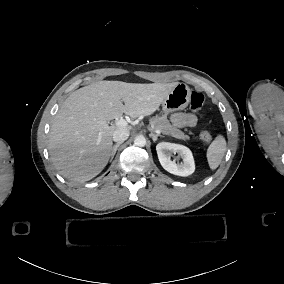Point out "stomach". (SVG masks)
Masks as SVG:
<instances>
[{"label": "stomach", "mask_w": 284, "mask_h": 284, "mask_svg": "<svg viewBox=\"0 0 284 284\" xmlns=\"http://www.w3.org/2000/svg\"><path fill=\"white\" fill-rule=\"evenodd\" d=\"M191 101V89L185 83H179L168 94L162 103L163 112L167 115L182 111L188 107Z\"/></svg>", "instance_id": "obj_1"}]
</instances>
